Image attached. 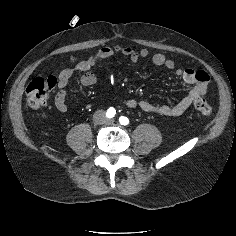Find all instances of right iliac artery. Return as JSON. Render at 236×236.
<instances>
[{
    "label": "right iliac artery",
    "instance_id": "1",
    "mask_svg": "<svg viewBox=\"0 0 236 236\" xmlns=\"http://www.w3.org/2000/svg\"><path fill=\"white\" fill-rule=\"evenodd\" d=\"M116 114V110L113 108V107H110L108 110H107V113H106V116L108 118H112L114 117Z\"/></svg>",
    "mask_w": 236,
    "mask_h": 236
}]
</instances>
